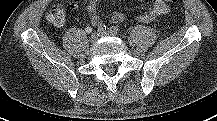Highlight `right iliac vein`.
Segmentation results:
<instances>
[{
  "instance_id": "obj_1",
  "label": "right iliac vein",
  "mask_w": 217,
  "mask_h": 121,
  "mask_svg": "<svg viewBox=\"0 0 217 121\" xmlns=\"http://www.w3.org/2000/svg\"><path fill=\"white\" fill-rule=\"evenodd\" d=\"M100 37V33L99 32H95L91 35L90 37V41L91 42H95L98 38Z\"/></svg>"
}]
</instances>
